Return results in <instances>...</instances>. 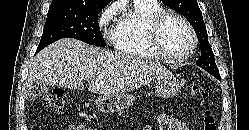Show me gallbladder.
Wrapping results in <instances>:
<instances>
[{"label": "gallbladder", "mask_w": 249, "mask_h": 130, "mask_svg": "<svg viewBox=\"0 0 249 130\" xmlns=\"http://www.w3.org/2000/svg\"><path fill=\"white\" fill-rule=\"evenodd\" d=\"M49 90L50 88L47 84L37 81L27 89L25 98L27 101H34L37 98L47 95Z\"/></svg>", "instance_id": "gallbladder-1"}]
</instances>
